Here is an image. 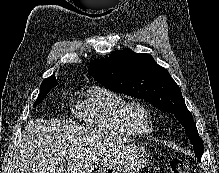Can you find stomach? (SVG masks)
Masks as SVG:
<instances>
[{"instance_id": "stomach-1", "label": "stomach", "mask_w": 219, "mask_h": 173, "mask_svg": "<svg viewBox=\"0 0 219 173\" xmlns=\"http://www.w3.org/2000/svg\"><path fill=\"white\" fill-rule=\"evenodd\" d=\"M148 159L144 146L135 142L124 143L101 162L95 173H139Z\"/></svg>"}]
</instances>
